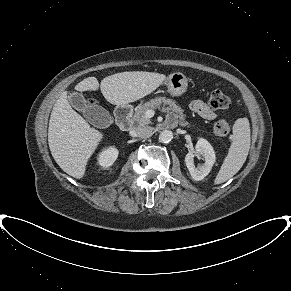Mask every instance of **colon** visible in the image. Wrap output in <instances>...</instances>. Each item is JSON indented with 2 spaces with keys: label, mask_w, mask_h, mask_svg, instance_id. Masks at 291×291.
I'll list each match as a JSON object with an SVG mask.
<instances>
[{
  "label": "colon",
  "mask_w": 291,
  "mask_h": 291,
  "mask_svg": "<svg viewBox=\"0 0 291 291\" xmlns=\"http://www.w3.org/2000/svg\"><path fill=\"white\" fill-rule=\"evenodd\" d=\"M209 106L212 109H225L230 105V99L220 90L214 89L209 94ZM214 132L224 137L230 132V123L226 119H219L214 124Z\"/></svg>",
  "instance_id": "1"
}]
</instances>
